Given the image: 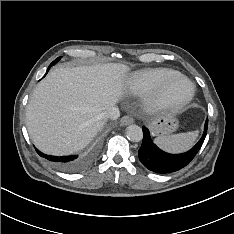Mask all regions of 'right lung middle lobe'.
<instances>
[{
  "label": "right lung middle lobe",
  "instance_id": "dd1d6c3e",
  "mask_svg": "<svg viewBox=\"0 0 234 234\" xmlns=\"http://www.w3.org/2000/svg\"><path fill=\"white\" fill-rule=\"evenodd\" d=\"M61 59V57H58L56 60H54L51 65H54L56 62H58Z\"/></svg>",
  "mask_w": 234,
  "mask_h": 234
}]
</instances>
